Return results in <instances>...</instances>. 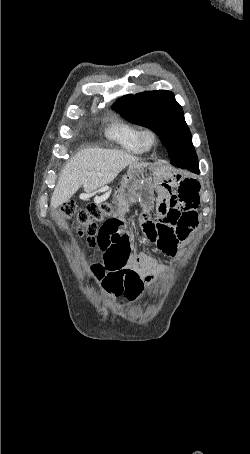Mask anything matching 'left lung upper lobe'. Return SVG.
Returning a JSON list of instances; mask_svg holds the SVG:
<instances>
[{
	"mask_svg": "<svg viewBox=\"0 0 250 454\" xmlns=\"http://www.w3.org/2000/svg\"><path fill=\"white\" fill-rule=\"evenodd\" d=\"M112 108L132 123L159 135L169 157L188 153L196 155L182 107L172 92L158 90L126 95L118 99Z\"/></svg>",
	"mask_w": 250,
	"mask_h": 454,
	"instance_id": "5c2ea615",
	"label": "left lung upper lobe"
}]
</instances>
